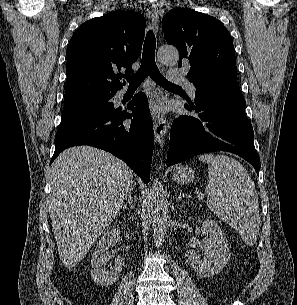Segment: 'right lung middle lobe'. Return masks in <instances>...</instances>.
<instances>
[{
	"mask_svg": "<svg viewBox=\"0 0 297 305\" xmlns=\"http://www.w3.org/2000/svg\"><path fill=\"white\" fill-rule=\"evenodd\" d=\"M114 95L115 93H100L64 102L60 127L92 112L113 109L111 99Z\"/></svg>",
	"mask_w": 297,
	"mask_h": 305,
	"instance_id": "1",
	"label": "right lung middle lobe"
}]
</instances>
